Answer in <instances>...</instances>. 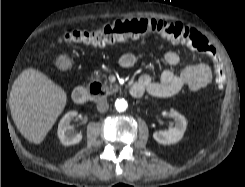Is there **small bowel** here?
<instances>
[{
	"label": "small bowel",
	"mask_w": 245,
	"mask_h": 187,
	"mask_svg": "<svg viewBox=\"0 0 245 187\" xmlns=\"http://www.w3.org/2000/svg\"><path fill=\"white\" fill-rule=\"evenodd\" d=\"M179 61L180 57L177 52L167 51L164 55L165 67L159 80L155 81L149 75H142L137 84L142 87L143 92L151 96L169 97L184 87L191 91H198L211 82V69L203 63L186 66L180 73H174L172 68ZM135 63L136 57L131 53H125L119 59V64L123 68H131Z\"/></svg>",
	"instance_id": "1"
}]
</instances>
